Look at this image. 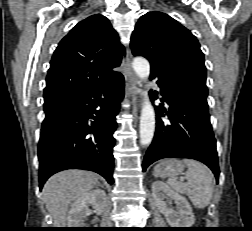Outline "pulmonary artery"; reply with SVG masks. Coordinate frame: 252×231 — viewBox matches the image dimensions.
Returning <instances> with one entry per match:
<instances>
[{"mask_svg":"<svg viewBox=\"0 0 252 231\" xmlns=\"http://www.w3.org/2000/svg\"><path fill=\"white\" fill-rule=\"evenodd\" d=\"M153 86H154V88H155L156 90H158V91L160 92V88L158 87L157 84H154Z\"/></svg>","mask_w":252,"mask_h":231,"instance_id":"obj_1","label":"pulmonary artery"}]
</instances>
